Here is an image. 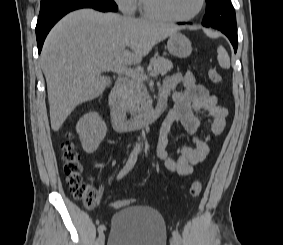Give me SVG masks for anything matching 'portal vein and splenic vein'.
Wrapping results in <instances>:
<instances>
[{"label": "portal vein and splenic vein", "instance_id": "portal-vein-and-splenic-vein-1", "mask_svg": "<svg viewBox=\"0 0 283 245\" xmlns=\"http://www.w3.org/2000/svg\"><path fill=\"white\" fill-rule=\"evenodd\" d=\"M103 69L109 70V71H114V72L121 73V74H125L129 77H132V78H139V79H143V80L147 79V76L142 74L139 70L127 67L126 65H123V64L118 63L116 61H112V62L104 65ZM158 74L159 73L155 70L150 73V75L152 77L157 76Z\"/></svg>", "mask_w": 283, "mask_h": 245}]
</instances>
